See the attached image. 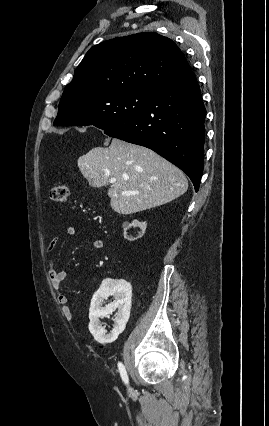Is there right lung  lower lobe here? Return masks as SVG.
Here are the masks:
<instances>
[{
    "instance_id": "right-lung-lower-lobe-1",
    "label": "right lung lower lobe",
    "mask_w": 269,
    "mask_h": 426,
    "mask_svg": "<svg viewBox=\"0 0 269 426\" xmlns=\"http://www.w3.org/2000/svg\"><path fill=\"white\" fill-rule=\"evenodd\" d=\"M206 109L193 72L151 92L136 117L104 131L145 146L183 170L198 191L203 172Z\"/></svg>"
}]
</instances>
